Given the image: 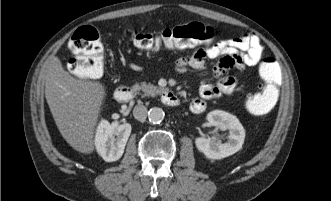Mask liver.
Returning <instances> with one entry per match:
<instances>
[{"mask_svg": "<svg viewBox=\"0 0 331 201\" xmlns=\"http://www.w3.org/2000/svg\"><path fill=\"white\" fill-rule=\"evenodd\" d=\"M42 72L45 97L62 137L75 150L92 153L95 127L106 96L104 86L72 77L58 57L50 58Z\"/></svg>", "mask_w": 331, "mask_h": 201, "instance_id": "liver-1", "label": "liver"}]
</instances>
